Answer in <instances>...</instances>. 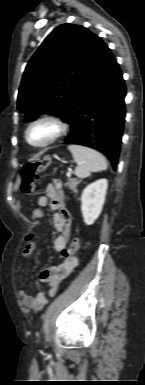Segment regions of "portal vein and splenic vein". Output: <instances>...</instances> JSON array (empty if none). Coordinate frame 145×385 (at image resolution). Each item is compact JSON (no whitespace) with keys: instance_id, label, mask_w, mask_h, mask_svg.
<instances>
[{"instance_id":"portal-vein-and-splenic-vein-1","label":"portal vein and splenic vein","mask_w":145,"mask_h":385,"mask_svg":"<svg viewBox=\"0 0 145 385\" xmlns=\"http://www.w3.org/2000/svg\"><path fill=\"white\" fill-rule=\"evenodd\" d=\"M67 175H70V171L67 173Z\"/></svg>"}]
</instances>
